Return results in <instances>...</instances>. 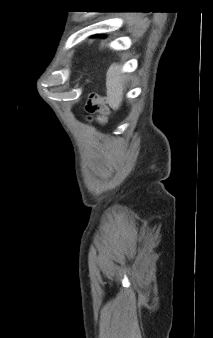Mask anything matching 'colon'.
<instances>
[{
    "mask_svg": "<svg viewBox=\"0 0 213 338\" xmlns=\"http://www.w3.org/2000/svg\"><path fill=\"white\" fill-rule=\"evenodd\" d=\"M87 111L89 112L92 119H96L100 121L102 120V117L99 114L101 113L103 114L104 110L101 109L100 105L95 100L93 95H91V99L87 104Z\"/></svg>",
    "mask_w": 213,
    "mask_h": 338,
    "instance_id": "1",
    "label": "colon"
}]
</instances>
